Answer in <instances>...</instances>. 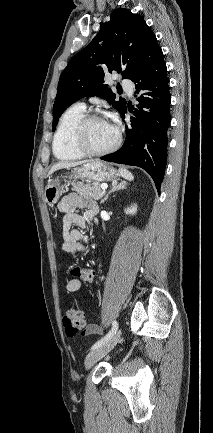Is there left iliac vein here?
I'll return each instance as SVG.
<instances>
[{
	"label": "left iliac vein",
	"mask_w": 213,
	"mask_h": 433,
	"mask_svg": "<svg viewBox=\"0 0 213 433\" xmlns=\"http://www.w3.org/2000/svg\"><path fill=\"white\" fill-rule=\"evenodd\" d=\"M120 336L121 330H118L108 341L89 352L85 358V368L90 369L95 363L107 355L116 346Z\"/></svg>",
	"instance_id": "1"
}]
</instances>
